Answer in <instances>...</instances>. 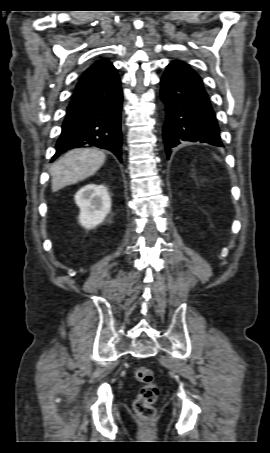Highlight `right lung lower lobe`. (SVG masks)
Here are the masks:
<instances>
[{
	"instance_id": "1",
	"label": "right lung lower lobe",
	"mask_w": 270,
	"mask_h": 453,
	"mask_svg": "<svg viewBox=\"0 0 270 453\" xmlns=\"http://www.w3.org/2000/svg\"><path fill=\"white\" fill-rule=\"evenodd\" d=\"M122 100L114 67L93 81L77 85L51 162L70 149L87 145L107 149L121 161Z\"/></svg>"
}]
</instances>
